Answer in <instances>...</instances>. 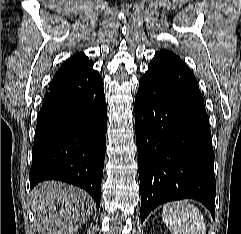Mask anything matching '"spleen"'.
I'll return each mask as SVG.
<instances>
[{"mask_svg":"<svg viewBox=\"0 0 241 234\" xmlns=\"http://www.w3.org/2000/svg\"><path fill=\"white\" fill-rule=\"evenodd\" d=\"M162 219L172 234H206L203 214L187 200L165 204Z\"/></svg>","mask_w":241,"mask_h":234,"instance_id":"1","label":"spleen"}]
</instances>
